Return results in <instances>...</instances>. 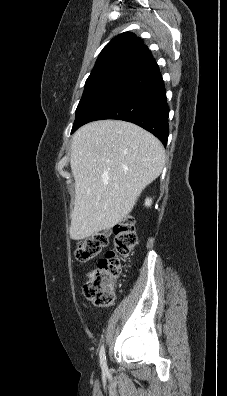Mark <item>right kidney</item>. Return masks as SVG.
Segmentation results:
<instances>
[{
    "label": "right kidney",
    "instance_id": "ca27d5eb",
    "mask_svg": "<svg viewBox=\"0 0 227 396\" xmlns=\"http://www.w3.org/2000/svg\"><path fill=\"white\" fill-rule=\"evenodd\" d=\"M151 203H152V200H151V199H146V202H145V205H146V206H150Z\"/></svg>",
    "mask_w": 227,
    "mask_h": 396
}]
</instances>
